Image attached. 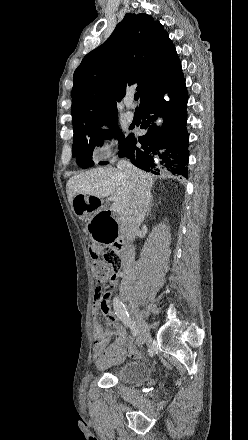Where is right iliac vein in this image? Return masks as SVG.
I'll list each match as a JSON object with an SVG mask.
<instances>
[{
    "label": "right iliac vein",
    "instance_id": "right-iliac-vein-1",
    "mask_svg": "<svg viewBox=\"0 0 248 440\" xmlns=\"http://www.w3.org/2000/svg\"><path fill=\"white\" fill-rule=\"evenodd\" d=\"M138 344L142 345L149 337V328L147 323L137 314Z\"/></svg>",
    "mask_w": 248,
    "mask_h": 440
}]
</instances>
